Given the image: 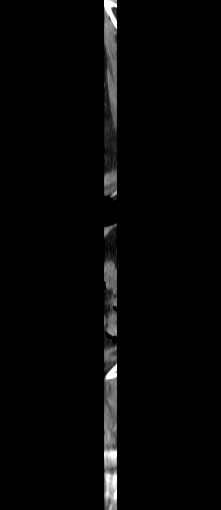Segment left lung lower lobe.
<instances>
[{
    "label": "left lung lower lobe",
    "instance_id": "1",
    "mask_svg": "<svg viewBox=\"0 0 221 510\" xmlns=\"http://www.w3.org/2000/svg\"><path fill=\"white\" fill-rule=\"evenodd\" d=\"M136 219L133 230L140 249H143L145 231L143 228V211L140 208V197L137 193L124 191L117 196V201L97 211H89L85 218L88 227H104L117 222L120 224Z\"/></svg>",
    "mask_w": 221,
    "mask_h": 510
}]
</instances>
